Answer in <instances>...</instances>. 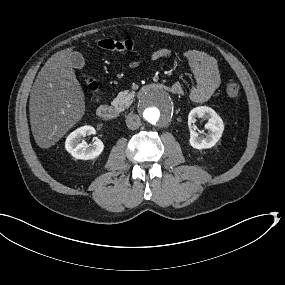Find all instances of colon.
<instances>
[{"label":"colon","instance_id":"colon-1","mask_svg":"<svg viewBox=\"0 0 285 285\" xmlns=\"http://www.w3.org/2000/svg\"><path fill=\"white\" fill-rule=\"evenodd\" d=\"M97 46L104 50L109 51H131L135 47V42L131 39H101L97 41ZM87 89L92 94L93 97L97 96L98 85L94 78L87 77L85 79ZM240 93V86L237 82H230L226 85V94L235 98Z\"/></svg>","mask_w":285,"mask_h":285}]
</instances>
